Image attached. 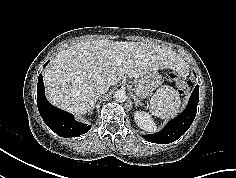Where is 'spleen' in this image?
Wrapping results in <instances>:
<instances>
[{
  "mask_svg": "<svg viewBox=\"0 0 236 178\" xmlns=\"http://www.w3.org/2000/svg\"><path fill=\"white\" fill-rule=\"evenodd\" d=\"M180 107L181 100L177 91L169 85H163L151 98L149 110L161 119H169L179 113Z\"/></svg>",
  "mask_w": 236,
  "mask_h": 178,
  "instance_id": "obj_1",
  "label": "spleen"
}]
</instances>
